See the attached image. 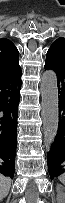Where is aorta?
<instances>
[{
	"label": "aorta",
	"mask_w": 65,
	"mask_h": 203,
	"mask_svg": "<svg viewBox=\"0 0 65 203\" xmlns=\"http://www.w3.org/2000/svg\"><path fill=\"white\" fill-rule=\"evenodd\" d=\"M42 118L44 140L47 146L54 143L59 124L57 75L53 70H46L41 78Z\"/></svg>",
	"instance_id": "obj_1"
}]
</instances>
